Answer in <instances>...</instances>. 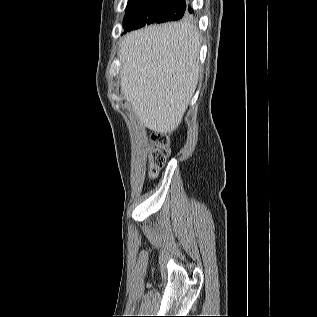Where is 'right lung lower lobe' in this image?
I'll return each instance as SVG.
<instances>
[{
  "instance_id": "98d812e1",
  "label": "right lung lower lobe",
  "mask_w": 317,
  "mask_h": 317,
  "mask_svg": "<svg viewBox=\"0 0 317 317\" xmlns=\"http://www.w3.org/2000/svg\"><path fill=\"white\" fill-rule=\"evenodd\" d=\"M179 2L181 4H183L185 6V11L188 13H192L193 10H192V7L190 6V4L188 2H186V0H179Z\"/></svg>"
}]
</instances>
